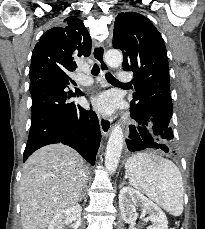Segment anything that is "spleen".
Here are the masks:
<instances>
[{"label": "spleen", "instance_id": "3e777b00", "mask_svg": "<svg viewBox=\"0 0 205 229\" xmlns=\"http://www.w3.org/2000/svg\"><path fill=\"white\" fill-rule=\"evenodd\" d=\"M129 182L173 216L183 212L181 172L170 160L147 153H137L125 163Z\"/></svg>", "mask_w": 205, "mask_h": 229}]
</instances>
